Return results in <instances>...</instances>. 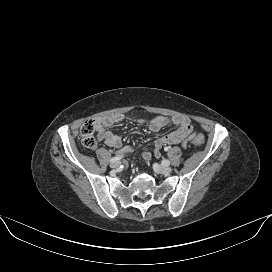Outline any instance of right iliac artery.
I'll list each match as a JSON object with an SVG mask.
<instances>
[{
    "instance_id": "1",
    "label": "right iliac artery",
    "mask_w": 272,
    "mask_h": 272,
    "mask_svg": "<svg viewBox=\"0 0 272 272\" xmlns=\"http://www.w3.org/2000/svg\"><path fill=\"white\" fill-rule=\"evenodd\" d=\"M129 149H130L129 147L123 148L121 151L118 152V154L115 157L110 159V162L113 163V162H116V161L120 160L123 157V154L125 152H128Z\"/></svg>"
}]
</instances>
